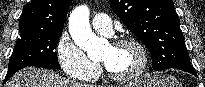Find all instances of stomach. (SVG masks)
Masks as SVG:
<instances>
[{
  "label": "stomach",
  "instance_id": "1",
  "mask_svg": "<svg viewBox=\"0 0 205 87\" xmlns=\"http://www.w3.org/2000/svg\"><path fill=\"white\" fill-rule=\"evenodd\" d=\"M125 87H178L175 78L164 74H149L136 79Z\"/></svg>",
  "mask_w": 205,
  "mask_h": 87
}]
</instances>
